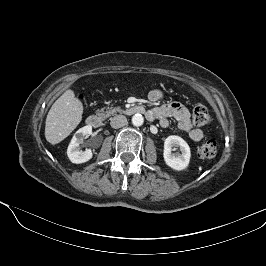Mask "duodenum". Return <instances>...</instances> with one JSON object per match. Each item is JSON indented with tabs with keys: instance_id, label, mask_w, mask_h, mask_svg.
<instances>
[{
	"instance_id": "obj_1",
	"label": "duodenum",
	"mask_w": 266,
	"mask_h": 266,
	"mask_svg": "<svg viewBox=\"0 0 266 266\" xmlns=\"http://www.w3.org/2000/svg\"><path fill=\"white\" fill-rule=\"evenodd\" d=\"M128 115L147 114L143 106L134 105L126 110ZM87 125L92 128H100L103 126V118L99 115H90L86 119Z\"/></svg>"
}]
</instances>
